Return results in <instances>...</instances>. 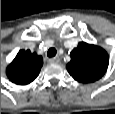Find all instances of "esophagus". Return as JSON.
Here are the masks:
<instances>
[{
    "instance_id": "obj_1",
    "label": "esophagus",
    "mask_w": 115,
    "mask_h": 114,
    "mask_svg": "<svg viewBox=\"0 0 115 114\" xmlns=\"http://www.w3.org/2000/svg\"><path fill=\"white\" fill-rule=\"evenodd\" d=\"M49 63L58 64V63H60V58L59 57L51 58V59H49Z\"/></svg>"
}]
</instances>
